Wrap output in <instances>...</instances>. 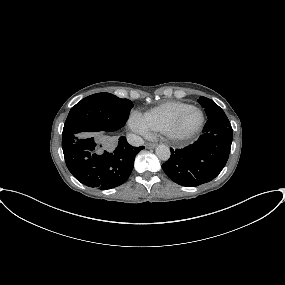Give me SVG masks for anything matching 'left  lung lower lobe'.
I'll list each match as a JSON object with an SVG mask.
<instances>
[{"label":"left lung lower lobe","instance_id":"1","mask_svg":"<svg viewBox=\"0 0 285 285\" xmlns=\"http://www.w3.org/2000/svg\"><path fill=\"white\" fill-rule=\"evenodd\" d=\"M232 136L226 115L208 118L199 139L183 149L171 148V157L162 168L179 185L195 187L207 183L226 165Z\"/></svg>","mask_w":285,"mask_h":285}]
</instances>
